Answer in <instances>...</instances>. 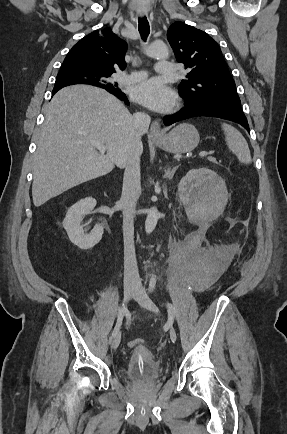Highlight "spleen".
<instances>
[{
  "label": "spleen",
  "instance_id": "spleen-1",
  "mask_svg": "<svg viewBox=\"0 0 287 434\" xmlns=\"http://www.w3.org/2000/svg\"><path fill=\"white\" fill-rule=\"evenodd\" d=\"M222 129L225 134V141L240 163L250 164L252 162L250 150L247 141L243 135L233 126L223 123Z\"/></svg>",
  "mask_w": 287,
  "mask_h": 434
}]
</instances>
